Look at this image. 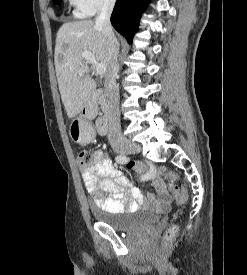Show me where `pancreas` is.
I'll use <instances>...</instances> for the list:
<instances>
[{
    "mask_svg": "<svg viewBox=\"0 0 247 275\" xmlns=\"http://www.w3.org/2000/svg\"><path fill=\"white\" fill-rule=\"evenodd\" d=\"M98 103L100 105V108L103 111H106V109H107V102H106L105 98L104 97H100L99 100H98Z\"/></svg>",
    "mask_w": 247,
    "mask_h": 275,
    "instance_id": "obj_1",
    "label": "pancreas"
}]
</instances>
